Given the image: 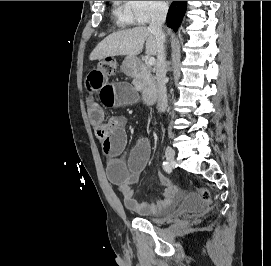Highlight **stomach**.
Returning <instances> with one entry per match:
<instances>
[{"instance_id":"0dacf381","label":"stomach","mask_w":271,"mask_h":266,"mask_svg":"<svg viewBox=\"0 0 271 266\" xmlns=\"http://www.w3.org/2000/svg\"><path fill=\"white\" fill-rule=\"evenodd\" d=\"M137 64V58L136 57H126L124 62H123V69L125 71H132L134 67Z\"/></svg>"}]
</instances>
